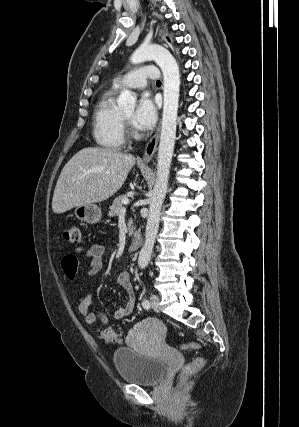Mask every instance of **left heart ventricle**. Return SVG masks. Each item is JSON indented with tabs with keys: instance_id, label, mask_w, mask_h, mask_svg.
<instances>
[{
	"instance_id": "b2bd125f",
	"label": "left heart ventricle",
	"mask_w": 299,
	"mask_h": 427,
	"mask_svg": "<svg viewBox=\"0 0 299 427\" xmlns=\"http://www.w3.org/2000/svg\"><path fill=\"white\" fill-rule=\"evenodd\" d=\"M123 116L127 119H130L132 117V111L123 112Z\"/></svg>"
}]
</instances>
